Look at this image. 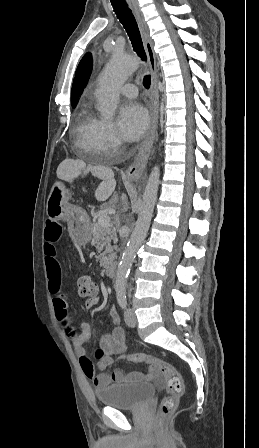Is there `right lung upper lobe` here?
Listing matches in <instances>:
<instances>
[{
    "instance_id": "cb5924a9",
    "label": "right lung upper lobe",
    "mask_w": 259,
    "mask_h": 448,
    "mask_svg": "<svg viewBox=\"0 0 259 448\" xmlns=\"http://www.w3.org/2000/svg\"><path fill=\"white\" fill-rule=\"evenodd\" d=\"M92 71V56L90 53L85 54V56L80 61L77 70L75 72V78L73 80L72 91H71V104L73 107L82 94L84 87L90 77Z\"/></svg>"
}]
</instances>
